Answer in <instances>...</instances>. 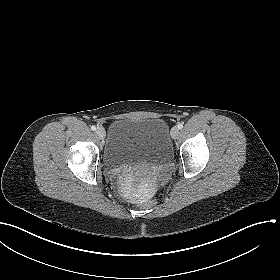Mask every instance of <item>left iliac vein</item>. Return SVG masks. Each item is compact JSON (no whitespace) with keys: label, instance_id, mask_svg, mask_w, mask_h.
Segmentation results:
<instances>
[{"label":"left iliac vein","instance_id":"left-iliac-vein-1","mask_svg":"<svg viewBox=\"0 0 280 280\" xmlns=\"http://www.w3.org/2000/svg\"><path fill=\"white\" fill-rule=\"evenodd\" d=\"M171 137L173 139H176L179 135V128L177 126H174L172 129H171Z\"/></svg>","mask_w":280,"mask_h":280}]
</instances>
